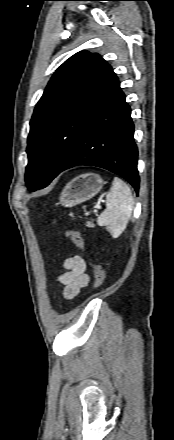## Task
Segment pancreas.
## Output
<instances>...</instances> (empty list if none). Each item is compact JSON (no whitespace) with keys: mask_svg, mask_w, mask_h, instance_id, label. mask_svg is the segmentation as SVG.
Wrapping results in <instances>:
<instances>
[{"mask_svg":"<svg viewBox=\"0 0 174 440\" xmlns=\"http://www.w3.org/2000/svg\"><path fill=\"white\" fill-rule=\"evenodd\" d=\"M86 226L89 227V228H93L94 224H93V222L88 221V222H86Z\"/></svg>","mask_w":174,"mask_h":440,"instance_id":"cf45deb5","label":"pancreas"}]
</instances>
